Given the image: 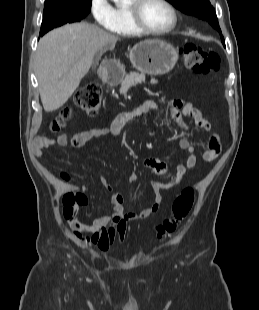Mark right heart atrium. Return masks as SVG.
I'll return each mask as SVG.
<instances>
[{"label": "right heart atrium", "mask_w": 259, "mask_h": 310, "mask_svg": "<svg viewBox=\"0 0 259 310\" xmlns=\"http://www.w3.org/2000/svg\"><path fill=\"white\" fill-rule=\"evenodd\" d=\"M90 12L99 26L111 29L114 25V8L109 0H90Z\"/></svg>", "instance_id": "1"}]
</instances>
